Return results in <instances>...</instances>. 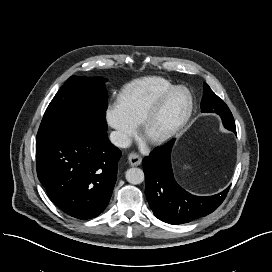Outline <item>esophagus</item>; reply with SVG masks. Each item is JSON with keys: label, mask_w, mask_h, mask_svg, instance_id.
<instances>
[{"label": "esophagus", "mask_w": 272, "mask_h": 272, "mask_svg": "<svg viewBox=\"0 0 272 272\" xmlns=\"http://www.w3.org/2000/svg\"><path fill=\"white\" fill-rule=\"evenodd\" d=\"M128 161L131 166H138L141 164L142 158L136 153H131L128 156Z\"/></svg>", "instance_id": "34e87169"}]
</instances>
